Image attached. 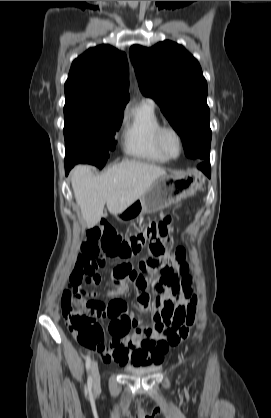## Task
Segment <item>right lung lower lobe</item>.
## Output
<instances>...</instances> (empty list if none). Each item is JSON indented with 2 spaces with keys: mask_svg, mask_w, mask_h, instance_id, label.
Returning a JSON list of instances; mask_svg holds the SVG:
<instances>
[{
  "mask_svg": "<svg viewBox=\"0 0 271 418\" xmlns=\"http://www.w3.org/2000/svg\"><path fill=\"white\" fill-rule=\"evenodd\" d=\"M73 164L70 163H66L65 162V170H66V174H68L69 170L73 167Z\"/></svg>",
  "mask_w": 271,
  "mask_h": 418,
  "instance_id": "obj_1",
  "label": "right lung lower lobe"
}]
</instances>
